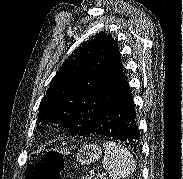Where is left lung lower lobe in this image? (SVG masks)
<instances>
[{"instance_id":"obj_1","label":"left lung lower lobe","mask_w":183,"mask_h":179,"mask_svg":"<svg viewBox=\"0 0 183 179\" xmlns=\"http://www.w3.org/2000/svg\"><path fill=\"white\" fill-rule=\"evenodd\" d=\"M91 134L121 141L134 151L138 149L136 112L130 87L123 72L113 105Z\"/></svg>"}]
</instances>
